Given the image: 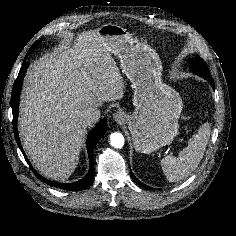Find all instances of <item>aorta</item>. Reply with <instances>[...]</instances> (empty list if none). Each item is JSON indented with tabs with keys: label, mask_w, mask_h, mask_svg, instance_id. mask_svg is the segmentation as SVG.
Masks as SVG:
<instances>
[{
	"label": "aorta",
	"mask_w": 236,
	"mask_h": 236,
	"mask_svg": "<svg viewBox=\"0 0 236 236\" xmlns=\"http://www.w3.org/2000/svg\"><path fill=\"white\" fill-rule=\"evenodd\" d=\"M124 137L119 132H114L110 135V144L115 148H121L124 145Z\"/></svg>",
	"instance_id": "aorta-1"
}]
</instances>
